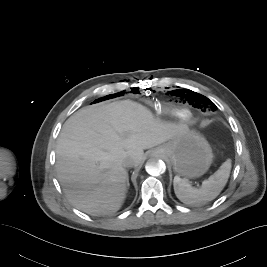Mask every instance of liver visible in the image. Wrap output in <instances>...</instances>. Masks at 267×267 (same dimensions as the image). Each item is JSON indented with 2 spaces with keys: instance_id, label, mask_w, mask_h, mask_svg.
I'll return each instance as SVG.
<instances>
[{
  "instance_id": "liver-1",
  "label": "liver",
  "mask_w": 267,
  "mask_h": 267,
  "mask_svg": "<svg viewBox=\"0 0 267 267\" xmlns=\"http://www.w3.org/2000/svg\"><path fill=\"white\" fill-rule=\"evenodd\" d=\"M187 129L185 124L155 119L130 100L81 108L66 120L58 137L59 182L78 209L92 215L114 213L126 198L124 160L131 159L137 167L144 161V149Z\"/></svg>"
}]
</instances>
